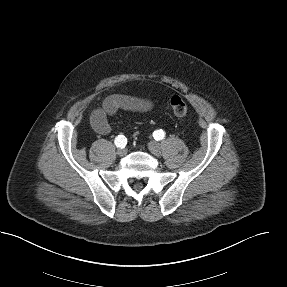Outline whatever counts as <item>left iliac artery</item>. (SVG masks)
<instances>
[{
    "label": "left iliac artery",
    "mask_w": 287,
    "mask_h": 287,
    "mask_svg": "<svg viewBox=\"0 0 287 287\" xmlns=\"http://www.w3.org/2000/svg\"><path fill=\"white\" fill-rule=\"evenodd\" d=\"M153 136L155 140H162L165 137V132L162 129L156 130L154 131Z\"/></svg>",
    "instance_id": "obj_1"
}]
</instances>
